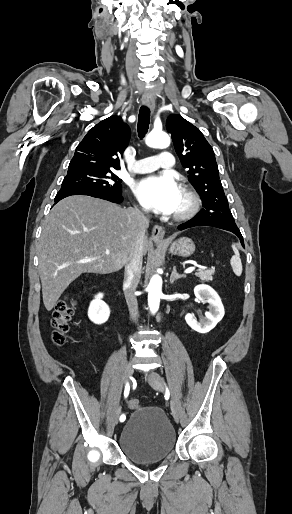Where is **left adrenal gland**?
Segmentation results:
<instances>
[{"instance_id":"obj_1","label":"left adrenal gland","mask_w":292,"mask_h":514,"mask_svg":"<svg viewBox=\"0 0 292 514\" xmlns=\"http://www.w3.org/2000/svg\"><path fill=\"white\" fill-rule=\"evenodd\" d=\"M178 278H186V276H184V274H177L176 266H174L173 272L170 276V284H173V282L178 280Z\"/></svg>"}]
</instances>
